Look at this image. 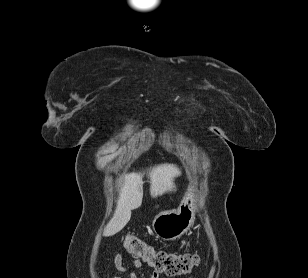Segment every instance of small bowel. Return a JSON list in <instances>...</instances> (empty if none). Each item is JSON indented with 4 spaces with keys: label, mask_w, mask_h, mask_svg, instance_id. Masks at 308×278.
Instances as JSON below:
<instances>
[{
    "label": "small bowel",
    "mask_w": 308,
    "mask_h": 278,
    "mask_svg": "<svg viewBox=\"0 0 308 278\" xmlns=\"http://www.w3.org/2000/svg\"><path fill=\"white\" fill-rule=\"evenodd\" d=\"M114 262L116 265V268L123 272L125 275H115L112 276V278H137L136 274L134 273V270L138 268L141 263L139 260H135L131 264L125 263L122 255L120 253L115 255ZM150 278H158V273L154 272Z\"/></svg>",
    "instance_id": "small-bowel-1"
}]
</instances>
